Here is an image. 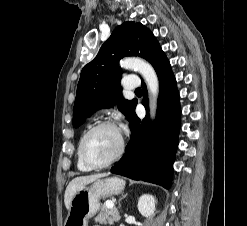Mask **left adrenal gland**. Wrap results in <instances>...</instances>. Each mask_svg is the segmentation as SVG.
<instances>
[{"label": "left adrenal gland", "mask_w": 247, "mask_h": 226, "mask_svg": "<svg viewBox=\"0 0 247 226\" xmlns=\"http://www.w3.org/2000/svg\"><path fill=\"white\" fill-rule=\"evenodd\" d=\"M126 196H127V193L123 194L122 197L119 199V208L121 207V204H120L121 200L126 198Z\"/></svg>", "instance_id": "obj_1"}]
</instances>
